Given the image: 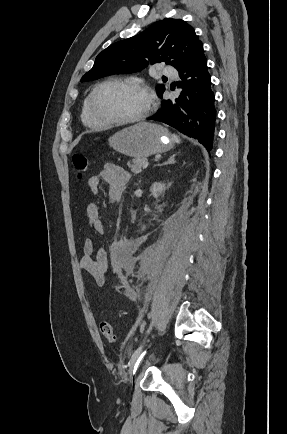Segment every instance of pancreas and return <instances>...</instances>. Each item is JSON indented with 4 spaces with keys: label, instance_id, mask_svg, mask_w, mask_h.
Wrapping results in <instances>:
<instances>
[{
    "label": "pancreas",
    "instance_id": "pancreas-1",
    "mask_svg": "<svg viewBox=\"0 0 287 434\" xmlns=\"http://www.w3.org/2000/svg\"><path fill=\"white\" fill-rule=\"evenodd\" d=\"M144 161H146L145 158H137L133 159L132 162H128L127 165L132 173L139 174L142 171Z\"/></svg>",
    "mask_w": 287,
    "mask_h": 434
}]
</instances>
